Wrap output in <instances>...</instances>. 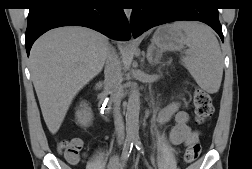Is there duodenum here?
<instances>
[{"mask_svg": "<svg viewBox=\"0 0 252 169\" xmlns=\"http://www.w3.org/2000/svg\"><path fill=\"white\" fill-rule=\"evenodd\" d=\"M97 87L99 89H102V85L101 84H99ZM99 99H100L101 106L106 110V108H107V106L109 104V99H108L107 93L104 92V91H102L100 93Z\"/></svg>", "mask_w": 252, "mask_h": 169, "instance_id": "duodenum-1", "label": "duodenum"}]
</instances>
